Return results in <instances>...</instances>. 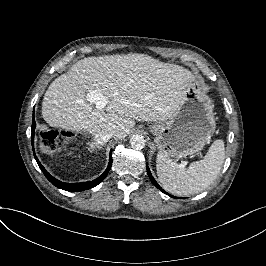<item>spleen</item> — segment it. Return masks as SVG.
<instances>
[{"instance_id":"obj_1","label":"spleen","mask_w":266,"mask_h":266,"mask_svg":"<svg viewBox=\"0 0 266 266\" xmlns=\"http://www.w3.org/2000/svg\"><path fill=\"white\" fill-rule=\"evenodd\" d=\"M224 158V142L217 139L211 144L204 158L191 162L188 168L172 162L159 152L156 170L165 190L175 195L189 196L204 191L214 182L221 171Z\"/></svg>"}]
</instances>
